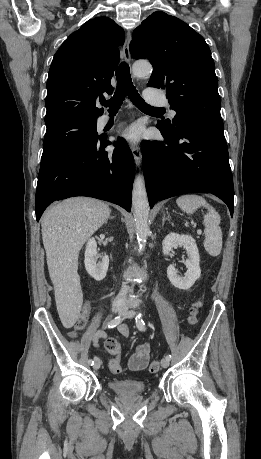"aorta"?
Wrapping results in <instances>:
<instances>
[{
	"label": "aorta",
	"mask_w": 261,
	"mask_h": 459,
	"mask_svg": "<svg viewBox=\"0 0 261 459\" xmlns=\"http://www.w3.org/2000/svg\"><path fill=\"white\" fill-rule=\"evenodd\" d=\"M133 73L137 77H147L152 73V66L146 62H136ZM132 207L135 218V231L140 247L144 246L150 233L149 228V203L142 175L135 178L132 191Z\"/></svg>",
	"instance_id": "1"
}]
</instances>
